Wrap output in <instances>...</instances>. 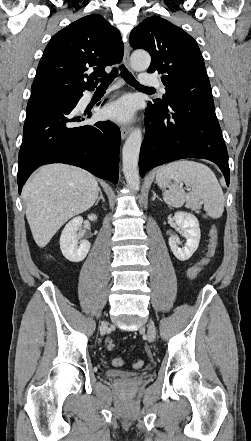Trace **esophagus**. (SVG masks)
Returning <instances> with one entry per match:
<instances>
[{
	"label": "esophagus",
	"instance_id": "1",
	"mask_svg": "<svg viewBox=\"0 0 251 441\" xmlns=\"http://www.w3.org/2000/svg\"><path fill=\"white\" fill-rule=\"evenodd\" d=\"M123 61H124V64L129 68L130 67V46H129V43H126V45H125ZM120 131H121L122 139H125L129 135V133L131 132V127L130 126H122Z\"/></svg>",
	"mask_w": 251,
	"mask_h": 441
}]
</instances>
